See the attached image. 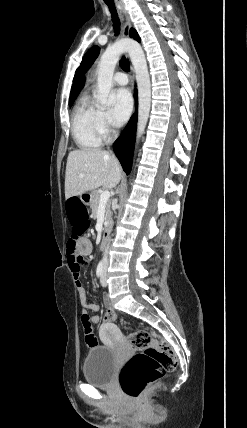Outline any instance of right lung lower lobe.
Wrapping results in <instances>:
<instances>
[{
  "mask_svg": "<svg viewBox=\"0 0 247 428\" xmlns=\"http://www.w3.org/2000/svg\"><path fill=\"white\" fill-rule=\"evenodd\" d=\"M136 95L135 91V97ZM136 125L137 116L134 114L114 145L115 154L127 175L131 171Z\"/></svg>",
  "mask_w": 247,
  "mask_h": 428,
  "instance_id": "obj_1",
  "label": "right lung lower lobe"
}]
</instances>
